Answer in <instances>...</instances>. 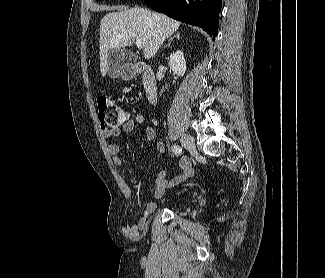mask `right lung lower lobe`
Here are the masks:
<instances>
[{"mask_svg": "<svg viewBox=\"0 0 325 278\" xmlns=\"http://www.w3.org/2000/svg\"><path fill=\"white\" fill-rule=\"evenodd\" d=\"M150 7L176 20L201 27L210 36L218 34L221 0H144Z\"/></svg>", "mask_w": 325, "mask_h": 278, "instance_id": "98d812e1", "label": "right lung lower lobe"}]
</instances>
